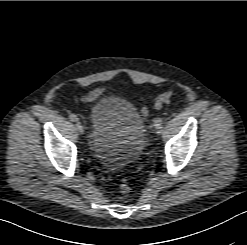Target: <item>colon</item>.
Instances as JSON below:
<instances>
[{
    "label": "colon",
    "mask_w": 247,
    "mask_h": 245,
    "mask_svg": "<svg viewBox=\"0 0 247 245\" xmlns=\"http://www.w3.org/2000/svg\"><path fill=\"white\" fill-rule=\"evenodd\" d=\"M171 92H165L156 98L155 105L157 108L161 107L165 102L171 98ZM120 192L122 194H127L130 192V185L127 180H122L120 183Z\"/></svg>",
    "instance_id": "1"
}]
</instances>
